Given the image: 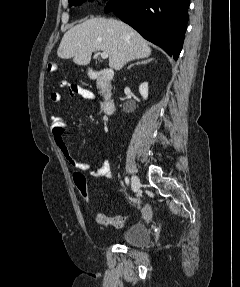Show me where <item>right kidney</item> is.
<instances>
[{
  "label": "right kidney",
  "instance_id": "right-kidney-1",
  "mask_svg": "<svg viewBox=\"0 0 240 287\" xmlns=\"http://www.w3.org/2000/svg\"><path fill=\"white\" fill-rule=\"evenodd\" d=\"M139 92L141 94V96L143 97V99H147L148 98V83L144 82L139 86Z\"/></svg>",
  "mask_w": 240,
  "mask_h": 287
}]
</instances>
